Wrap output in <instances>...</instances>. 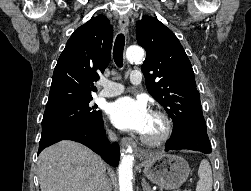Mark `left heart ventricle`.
<instances>
[{
    "mask_svg": "<svg viewBox=\"0 0 251 191\" xmlns=\"http://www.w3.org/2000/svg\"><path fill=\"white\" fill-rule=\"evenodd\" d=\"M160 128H161L160 123L156 119L150 117L144 133L149 136H156L160 131Z\"/></svg>",
    "mask_w": 251,
    "mask_h": 191,
    "instance_id": "obj_1",
    "label": "left heart ventricle"
}]
</instances>
